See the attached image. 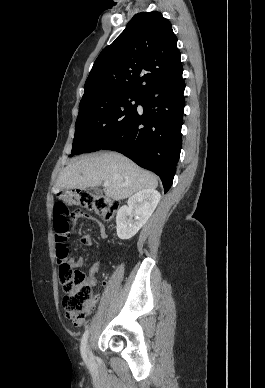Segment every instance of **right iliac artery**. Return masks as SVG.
I'll return each instance as SVG.
<instances>
[{"label":"right iliac artery","instance_id":"right-iliac-artery-1","mask_svg":"<svg viewBox=\"0 0 265 388\" xmlns=\"http://www.w3.org/2000/svg\"><path fill=\"white\" fill-rule=\"evenodd\" d=\"M88 335H89V330L86 329V331L84 332L82 339H81V348H80L82 358L86 364H89V361L87 358V353H86V345H87Z\"/></svg>","mask_w":265,"mask_h":388}]
</instances>
